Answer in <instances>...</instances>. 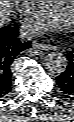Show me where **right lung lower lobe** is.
I'll return each mask as SVG.
<instances>
[{
    "label": "right lung lower lobe",
    "instance_id": "right-lung-lower-lobe-1",
    "mask_svg": "<svg viewBox=\"0 0 74 122\" xmlns=\"http://www.w3.org/2000/svg\"><path fill=\"white\" fill-rule=\"evenodd\" d=\"M18 33L17 27L0 28V98L12 89L10 68L14 59L31 47L30 41H20Z\"/></svg>",
    "mask_w": 74,
    "mask_h": 122
}]
</instances>
